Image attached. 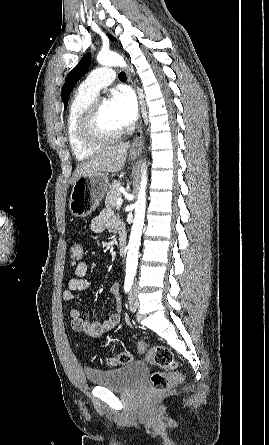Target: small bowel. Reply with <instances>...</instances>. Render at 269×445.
<instances>
[{
	"label": "small bowel",
	"instance_id": "obj_1",
	"mask_svg": "<svg viewBox=\"0 0 269 445\" xmlns=\"http://www.w3.org/2000/svg\"><path fill=\"white\" fill-rule=\"evenodd\" d=\"M90 228L95 233L103 232L108 228L121 229L119 221L109 209L102 210L99 215L94 217L91 221ZM88 271L89 265L86 262H81L76 265L74 270L75 275L68 280L67 289L62 293V298L65 302H72L76 293L84 292L89 288L90 283L86 278ZM120 288L121 285L119 282L111 285L110 293L116 301V312L112 313L108 319L103 322H89L82 317L81 312L77 308H70L69 317L72 329L87 336L100 337L115 328L121 321L122 303Z\"/></svg>",
	"mask_w": 269,
	"mask_h": 445
}]
</instances>
